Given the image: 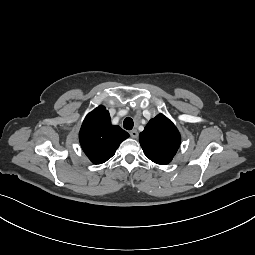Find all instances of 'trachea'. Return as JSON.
<instances>
[{
	"instance_id": "obj_1",
	"label": "trachea",
	"mask_w": 255,
	"mask_h": 255,
	"mask_svg": "<svg viewBox=\"0 0 255 255\" xmlns=\"http://www.w3.org/2000/svg\"><path fill=\"white\" fill-rule=\"evenodd\" d=\"M134 126V122L132 120V118L127 117L125 118L124 122H123V127L127 130H131Z\"/></svg>"
}]
</instances>
